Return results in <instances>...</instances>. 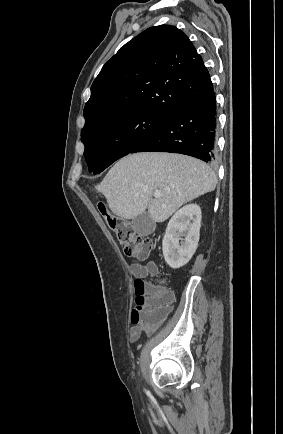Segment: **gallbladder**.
Returning a JSON list of instances; mask_svg holds the SVG:
<instances>
[{"mask_svg": "<svg viewBox=\"0 0 283 434\" xmlns=\"http://www.w3.org/2000/svg\"><path fill=\"white\" fill-rule=\"evenodd\" d=\"M156 223L152 220L147 212H144L132 220L133 230L141 235L148 236L153 233Z\"/></svg>", "mask_w": 283, "mask_h": 434, "instance_id": "gallbladder-1", "label": "gallbladder"}]
</instances>
